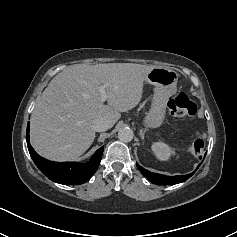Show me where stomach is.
I'll return each mask as SVG.
<instances>
[{
	"label": "stomach",
	"mask_w": 237,
	"mask_h": 237,
	"mask_svg": "<svg viewBox=\"0 0 237 237\" xmlns=\"http://www.w3.org/2000/svg\"><path fill=\"white\" fill-rule=\"evenodd\" d=\"M178 74L172 69L154 67L145 77V82L155 86L150 110L146 113L143 124L147 128L159 127L166 115V101L175 89Z\"/></svg>",
	"instance_id": "obj_1"
}]
</instances>
